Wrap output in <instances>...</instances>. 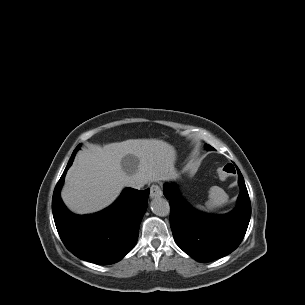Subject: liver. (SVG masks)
<instances>
[{"label":"liver","instance_id":"1","mask_svg":"<svg viewBox=\"0 0 305 305\" xmlns=\"http://www.w3.org/2000/svg\"><path fill=\"white\" fill-rule=\"evenodd\" d=\"M175 148L158 139L90 144L80 151L61 189L65 206L73 213L93 214L110 206L125 187L170 180Z\"/></svg>","mask_w":305,"mask_h":305}]
</instances>
